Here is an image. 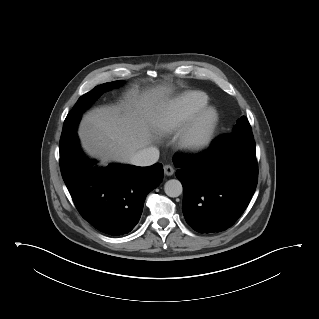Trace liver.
<instances>
[{
  "mask_svg": "<svg viewBox=\"0 0 319 319\" xmlns=\"http://www.w3.org/2000/svg\"><path fill=\"white\" fill-rule=\"evenodd\" d=\"M169 92L165 86L143 94L131 89L119 104L88 112L78 130L83 149L103 165L129 163L136 152L151 144L153 134L164 128Z\"/></svg>",
  "mask_w": 319,
  "mask_h": 319,
  "instance_id": "liver-1",
  "label": "liver"
}]
</instances>
